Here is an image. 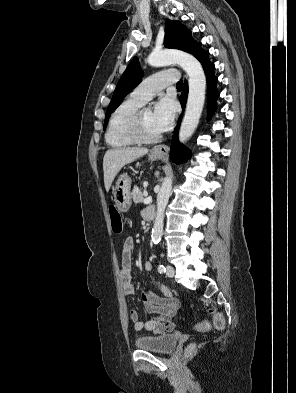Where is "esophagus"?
Returning <instances> with one entry per match:
<instances>
[{
	"label": "esophagus",
	"mask_w": 296,
	"mask_h": 393,
	"mask_svg": "<svg viewBox=\"0 0 296 393\" xmlns=\"http://www.w3.org/2000/svg\"><path fill=\"white\" fill-rule=\"evenodd\" d=\"M152 151L156 154L167 155L169 152V147L165 144H160L155 146Z\"/></svg>",
	"instance_id": "1"
}]
</instances>
